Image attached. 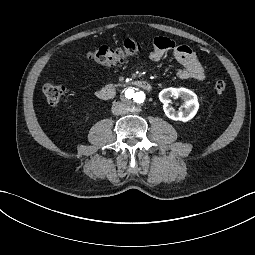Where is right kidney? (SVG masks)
I'll return each mask as SVG.
<instances>
[{
  "instance_id": "obj_1",
  "label": "right kidney",
  "mask_w": 255,
  "mask_h": 255,
  "mask_svg": "<svg viewBox=\"0 0 255 255\" xmlns=\"http://www.w3.org/2000/svg\"><path fill=\"white\" fill-rule=\"evenodd\" d=\"M88 115H89V113L87 112V113L85 114V117H88Z\"/></svg>"
}]
</instances>
